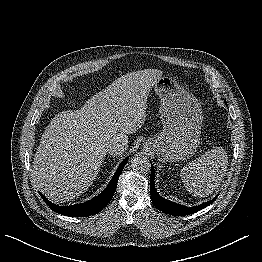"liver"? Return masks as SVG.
<instances>
[{
    "instance_id": "6515ba94",
    "label": "liver",
    "mask_w": 262,
    "mask_h": 262,
    "mask_svg": "<svg viewBox=\"0 0 262 262\" xmlns=\"http://www.w3.org/2000/svg\"><path fill=\"white\" fill-rule=\"evenodd\" d=\"M162 75L158 69L127 73L81 109L55 116L35 153L32 183L55 203L84 193L96 178L108 146L128 142L127 134L144 124L148 94Z\"/></svg>"
}]
</instances>
